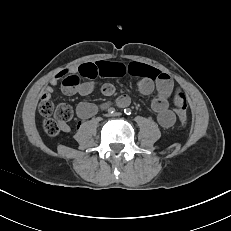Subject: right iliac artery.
<instances>
[{"mask_svg":"<svg viewBox=\"0 0 231 231\" xmlns=\"http://www.w3.org/2000/svg\"><path fill=\"white\" fill-rule=\"evenodd\" d=\"M108 112H109L110 114H113V113L115 112V108H112V107L109 108V109H108Z\"/></svg>","mask_w":231,"mask_h":231,"instance_id":"82829eb1","label":"right iliac artery"}]
</instances>
